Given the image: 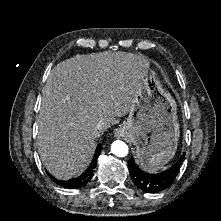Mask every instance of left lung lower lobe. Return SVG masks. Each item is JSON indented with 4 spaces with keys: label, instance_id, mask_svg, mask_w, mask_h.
Returning <instances> with one entry per match:
<instances>
[{
    "label": "left lung lower lobe",
    "instance_id": "0a47b994",
    "mask_svg": "<svg viewBox=\"0 0 221 221\" xmlns=\"http://www.w3.org/2000/svg\"><path fill=\"white\" fill-rule=\"evenodd\" d=\"M183 158L184 154L169 169L157 174H149L142 171L137 166L134 159L131 158L128 161L130 176L133 180V183L143 192L156 193L162 191L168 188L175 180L177 174L179 173Z\"/></svg>",
    "mask_w": 221,
    "mask_h": 221
}]
</instances>
